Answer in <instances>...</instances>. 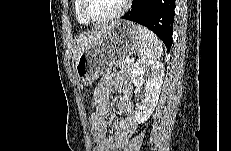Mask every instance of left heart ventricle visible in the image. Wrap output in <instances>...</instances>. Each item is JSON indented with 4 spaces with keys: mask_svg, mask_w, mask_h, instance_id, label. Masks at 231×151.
Segmentation results:
<instances>
[{
    "mask_svg": "<svg viewBox=\"0 0 231 151\" xmlns=\"http://www.w3.org/2000/svg\"><path fill=\"white\" fill-rule=\"evenodd\" d=\"M124 0H87L86 12L94 19L104 18L120 10Z\"/></svg>",
    "mask_w": 231,
    "mask_h": 151,
    "instance_id": "left-heart-ventricle-1",
    "label": "left heart ventricle"
}]
</instances>
